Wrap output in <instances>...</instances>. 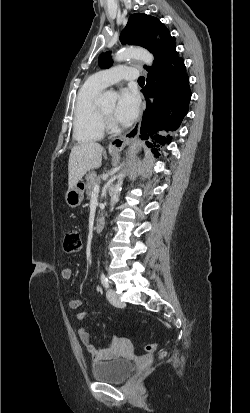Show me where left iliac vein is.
<instances>
[{"label": "left iliac vein", "instance_id": "obj_1", "mask_svg": "<svg viewBox=\"0 0 250 413\" xmlns=\"http://www.w3.org/2000/svg\"><path fill=\"white\" fill-rule=\"evenodd\" d=\"M107 298L109 302L116 307L122 308L125 306V303H123L120 300L119 296L116 294L115 290L113 289H109L107 291Z\"/></svg>", "mask_w": 250, "mask_h": 413}]
</instances>
